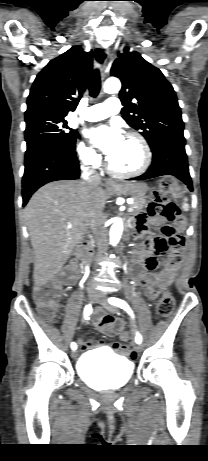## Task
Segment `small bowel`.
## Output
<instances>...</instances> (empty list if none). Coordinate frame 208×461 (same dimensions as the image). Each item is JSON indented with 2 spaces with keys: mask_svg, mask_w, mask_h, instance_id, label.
Returning <instances> with one entry per match:
<instances>
[{
  "mask_svg": "<svg viewBox=\"0 0 208 461\" xmlns=\"http://www.w3.org/2000/svg\"><path fill=\"white\" fill-rule=\"evenodd\" d=\"M138 216L135 218V235L141 237L146 233L147 227L150 224L155 225V234H149V237H144V246L136 252L137 278L141 286H144L145 296L152 300L166 288L174 279V271L162 272L160 274H150L147 271L153 270L158 262L156 257L167 250H170L168 258L165 259L166 266H181V256L187 255V248H183V242H186V234H181V226L178 225H160L159 219L148 218L151 214L150 209H138ZM73 261L76 259L73 258ZM78 263H64L65 271H71L70 274H62L60 279L65 282H73L77 275ZM94 324L104 334L108 336L119 335L112 338L111 349L114 354H121L123 347L121 340L130 341V333L123 330L124 322L120 318H115L107 314H97L94 317ZM79 346L82 351L89 349L101 348L105 346L103 340L95 339L90 342L79 341Z\"/></svg>",
  "mask_w": 208,
  "mask_h": 461,
  "instance_id": "obj_1",
  "label": "small bowel"
}]
</instances>
